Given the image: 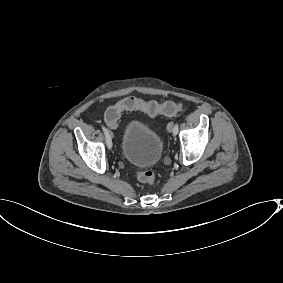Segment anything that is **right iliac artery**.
<instances>
[{"instance_id": "1", "label": "right iliac artery", "mask_w": 283, "mask_h": 283, "mask_svg": "<svg viewBox=\"0 0 283 283\" xmlns=\"http://www.w3.org/2000/svg\"><path fill=\"white\" fill-rule=\"evenodd\" d=\"M102 130H103V132L105 134V137H106L107 146H108L109 149H111V147H112V140H111V137L109 135V132L106 129V127H104V126H102Z\"/></svg>"}]
</instances>
